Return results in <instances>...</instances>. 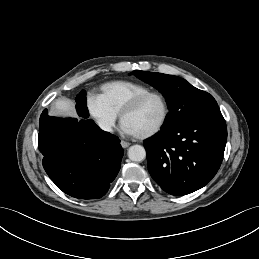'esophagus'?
<instances>
[{"mask_svg":"<svg viewBox=\"0 0 259 259\" xmlns=\"http://www.w3.org/2000/svg\"><path fill=\"white\" fill-rule=\"evenodd\" d=\"M121 146H122L123 148H127V147L130 146V143H129V142H126V141H124V140H121Z\"/></svg>","mask_w":259,"mask_h":259,"instance_id":"34e87169","label":"esophagus"}]
</instances>
